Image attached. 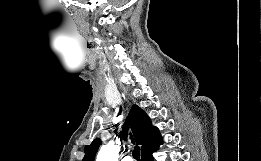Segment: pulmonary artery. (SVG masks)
I'll list each match as a JSON object with an SVG mask.
<instances>
[{
	"label": "pulmonary artery",
	"instance_id": "1",
	"mask_svg": "<svg viewBox=\"0 0 261 161\" xmlns=\"http://www.w3.org/2000/svg\"><path fill=\"white\" fill-rule=\"evenodd\" d=\"M122 161H133L130 156H125Z\"/></svg>",
	"mask_w": 261,
	"mask_h": 161
}]
</instances>
